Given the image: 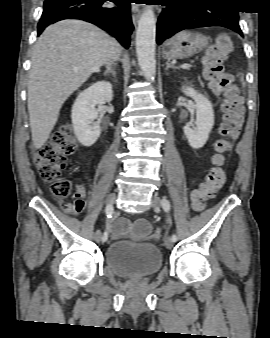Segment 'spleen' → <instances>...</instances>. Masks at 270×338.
<instances>
[{
    "label": "spleen",
    "mask_w": 270,
    "mask_h": 338,
    "mask_svg": "<svg viewBox=\"0 0 270 338\" xmlns=\"http://www.w3.org/2000/svg\"><path fill=\"white\" fill-rule=\"evenodd\" d=\"M239 76H241V77H240V81L242 82V84H243V86H244L245 83H244V80H243V75H242V73H240Z\"/></svg>",
    "instance_id": "spleen-1"
}]
</instances>
